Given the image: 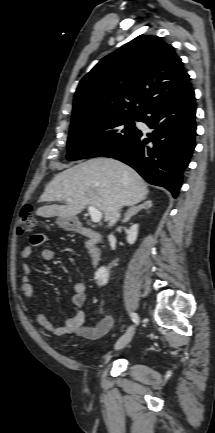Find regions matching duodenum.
I'll return each instance as SVG.
<instances>
[{
	"label": "duodenum",
	"instance_id": "1",
	"mask_svg": "<svg viewBox=\"0 0 215 433\" xmlns=\"http://www.w3.org/2000/svg\"><path fill=\"white\" fill-rule=\"evenodd\" d=\"M69 229L73 232L89 239V255L91 264L95 267L101 260V251L97 247V242L100 235L93 229L87 228L80 220L71 219L69 222Z\"/></svg>",
	"mask_w": 215,
	"mask_h": 433
}]
</instances>
